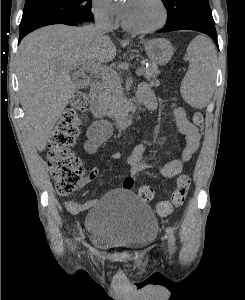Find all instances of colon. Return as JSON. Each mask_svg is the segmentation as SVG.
<instances>
[{"label":"colon","instance_id":"obj_1","mask_svg":"<svg viewBox=\"0 0 245 300\" xmlns=\"http://www.w3.org/2000/svg\"><path fill=\"white\" fill-rule=\"evenodd\" d=\"M88 98L85 93H77L60 115V118L50 136L48 143V163L56 190L60 195H69L80 189L85 183L84 167L81 160L72 152L79 132V114L86 108ZM193 123L203 127L202 114L196 112ZM191 185V178L187 174H181L177 178L176 188L169 200L157 204V211L162 216L170 215L180 207L186 198ZM138 195L143 201H151L154 190L149 185H142L138 189Z\"/></svg>","mask_w":245,"mask_h":300}]
</instances>
